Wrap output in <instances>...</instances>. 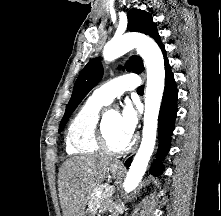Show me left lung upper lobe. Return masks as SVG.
<instances>
[{"label":"left lung upper lobe","mask_w":221,"mask_h":216,"mask_svg":"<svg viewBox=\"0 0 221 216\" xmlns=\"http://www.w3.org/2000/svg\"><path fill=\"white\" fill-rule=\"evenodd\" d=\"M127 18V28L129 31L149 35L159 45L161 44L156 25L148 12L133 8L128 12ZM125 68L127 71H133L135 73H141L144 70L143 62L138 56L130 57L125 64ZM102 75L103 67L98 58L92 59L83 68L75 82L72 96L67 104L65 114L59 126V132L63 130L72 112L77 108L83 98L97 85Z\"/></svg>","instance_id":"5c2ea615"}]
</instances>
